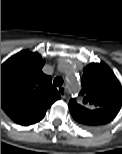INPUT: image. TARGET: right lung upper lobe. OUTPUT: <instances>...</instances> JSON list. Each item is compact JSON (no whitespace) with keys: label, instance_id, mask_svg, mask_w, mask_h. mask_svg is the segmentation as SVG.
I'll list each match as a JSON object with an SVG mask.
<instances>
[{"label":"right lung upper lobe","instance_id":"cb5924a9","mask_svg":"<svg viewBox=\"0 0 122 154\" xmlns=\"http://www.w3.org/2000/svg\"><path fill=\"white\" fill-rule=\"evenodd\" d=\"M44 63L38 53L25 50L1 65V108L20 125L39 122L61 98L52 78L42 72Z\"/></svg>","mask_w":122,"mask_h":154}]
</instances>
